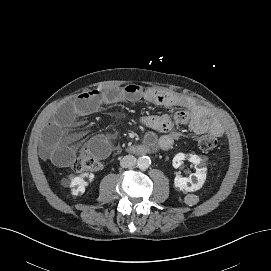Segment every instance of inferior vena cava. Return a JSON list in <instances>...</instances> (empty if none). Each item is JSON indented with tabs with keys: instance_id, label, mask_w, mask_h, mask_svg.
I'll return each instance as SVG.
<instances>
[{
	"instance_id": "1",
	"label": "inferior vena cava",
	"mask_w": 271,
	"mask_h": 271,
	"mask_svg": "<svg viewBox=\"0 0 271 271\" xmlns=\"http://www.w3.org/2000/svg\"><path fill=\"white\" fill-rule=\"evenodd\" d=\"M136 164V158L133 155H126L120 160V166L129 168Z\"/></svg>"
}]
</instances>
